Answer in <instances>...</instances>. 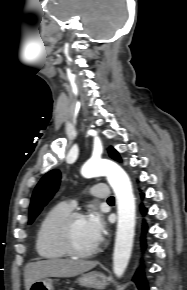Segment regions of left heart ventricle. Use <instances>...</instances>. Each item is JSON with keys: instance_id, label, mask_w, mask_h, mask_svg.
Segmentation results:
<instances>
[{"instance_id": "obj_1", "label": "left heart ventricle", "mask_w": 187, "mask_h": 290, "mask_svg": "<svg viewBox=\"0 0 187 290\" xmlns=\"http://www.w3.org/2000/svg\"><path fill=\"white\" fill-rule=\"evenodd\" d=\"M72 236L75 246L80 250H88L98 244L87 225L86 217L74 223Z\"/></svg>"}]
</instances>
